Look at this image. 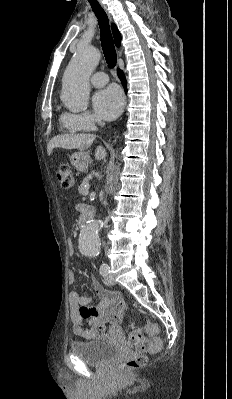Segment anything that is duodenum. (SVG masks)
Instances as JSON below:
<instances>
[{"instance_id": "1", "label": "duodenum", "mask_w": 232, "mask_h": 399, "mask_svg": "<svg viewBox=\"0 0 232 399\" xmlns=\"http://www.w3.org/2000/svg\"><path fill=\"white\" fill-rule=\"evenodd\" d=\"M86 220H87L86 216H83V217L80 219V225H84V224L86 223Z\"/></svg>"}]
</instances>
